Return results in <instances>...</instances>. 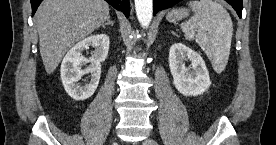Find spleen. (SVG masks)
Returning a JSON list of instances; mask_svg holds the SVG:
<instances>
[{
	"label": "spleen",
	"instance_id": "3e777b00",
	"mask_svg": "<svg viewBox=\"0 0 276 145\" xmlns=\"http://www.w3.org/2000/svg\"><path fill=\"white\" fill-rule=\"evenodd\" d=\"M194 15L181 24L187 40L195 39L205 52L213 69L222 73L228 63L233 23L226 9L213 0L190 1Z\"/></svg>",
	"mask_w": 276,
	"mask_h": 145
}]
</instances>
